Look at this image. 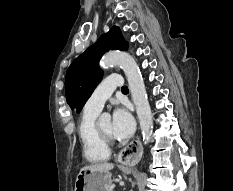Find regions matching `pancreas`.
<instances>
[{
  "instance_id": "cf45deb5",
  "label": "pancreas",
  "mask_w": 233,
  "mask_h": 191,
  "mask_svg": "<svg viewBox=\"0 0 233 191\" xmlns=\"http://www.w3.org/2000/svg\"><path fill=\"white\" fill-rule=\"evenodd\" d=\"M108 191H113L111 186H110V188L108 189Z\"/></svg>"
}]
</instances>
